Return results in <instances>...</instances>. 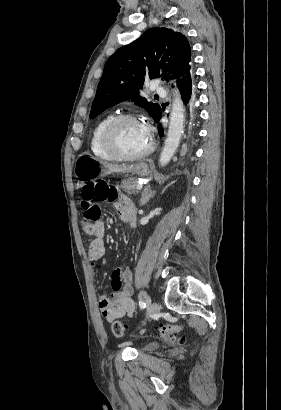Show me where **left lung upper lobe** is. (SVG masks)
Listing matches in <instances>:
<instances>
[{
    "instance_id": "left-lung-upper-lobe-1",
    "label": "left lung upper lobe",
    "mask_w": 281,
    "mask_h": 410,
    "mask_svg": "<svg viewBox=\"0 0 281 410\" xmlns=\"http://www.w3.org/2000/svg\"><path fill=\"white\" fill-rule=\"evenodd\" d=\"M191 70V49L182 33L163 27L149 29L107 60L89 117L94 118L108 107L131 100L155 119L160 105L139 96L145 77L165 76L166 80L175 78L178 82Z\"/></svg>"
}]
</instances>
